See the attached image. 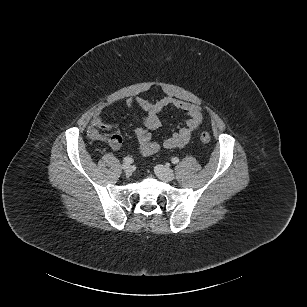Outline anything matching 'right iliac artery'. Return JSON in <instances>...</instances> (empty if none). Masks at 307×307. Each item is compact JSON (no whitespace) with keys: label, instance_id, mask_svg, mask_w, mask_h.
<instances>
[{"label":"right iliac artery","instance_id":"1","mask_svg":"<svg viewBox=\"0 0 307 307\" xmlns=\"http://www.w3.org/2000/svg\"><path fill=\"white\" fill-rule=\"evenodd\" d=\"M123 161L127 164H131L133 162V159L130 157H125Z\"/></svg>","mask_w":307,"mask_h":307}]
</instances>
